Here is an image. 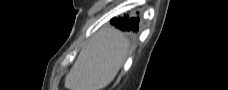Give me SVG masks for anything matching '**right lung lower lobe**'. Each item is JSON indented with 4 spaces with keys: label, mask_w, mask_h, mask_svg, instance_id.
I'll return each instance as SVG.
<instances>
[{
    "label": "right lung lower lobe",
    "mask_w": 228,
    "mask_h": 90,
    "mask_svg": "<svg viewBox=\"0 0 228 90\" xmlns=\"http://www.w3.org/2000/svg\"><path fill=\"white\" fill-rule=\"evenodd\" d=\"M111 24L119 28L122 31L129 33H135L138 30L139 17H118L111 19Z\"/></svg>",
    "instance_id": "right-lung-lower-lobe-1"
}]
</instances>
